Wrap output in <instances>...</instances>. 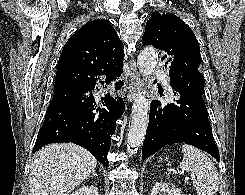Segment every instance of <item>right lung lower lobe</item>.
I'll return each mask as SVG.
<instances>
[{
  "mask_svg": "<svg viewBox=\"0 0 245 195\" xmlns=\"http://www.w3.org/2000/svg\"><path fill=\"white\" fill-rule=\"evenodd\" d=\"M111 81L115 79L102 74L88 84L54 92L33 153L50 143L72 142L86 148L108 167L111 135L116 129V120L125 110V104L121 98L108 93L101 98L99 105L92 92L99 91L100 84L107 88ZM122 84V81L116 82L115 89H120Z\"/></svg>",
  "mask_w": 245,
  "mask_h": 195,
  "instance_id": "obj_1",
  "label": "right lung lower lobe"
}]
</instances>
